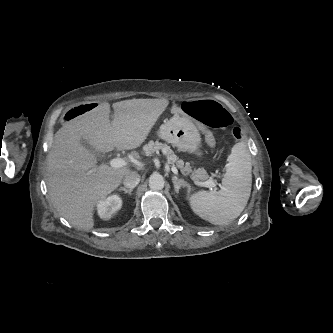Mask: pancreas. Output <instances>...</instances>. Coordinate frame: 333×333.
Returning a JSON list of instances; mask_svg holds the SVG:
<instances>
[{
  "label": "pancreas",
  "mask_w": 333,
  "mask_h": 333,
  "mask_svg": "<svg viewBox=\"0 0 333 333\" xmlns=\"http://www.w3.org/2000/svg\"><path fill=\"white\" fill-rule=\"evenodd\" d=\"M159 150L165 152L166 160L169 165L178 168L185 176H190L194 182H201L209 178L205 169H193L189 163H184L183 160L179 159L171 150V148L165 143H161L159 141H150L143 147V152L146 156H150Z\"/></svg>",
  "instance_id": "cf45deb5"
}]
</instances>
